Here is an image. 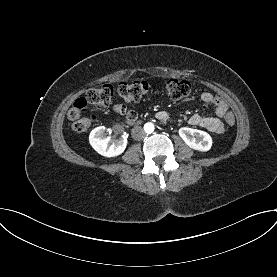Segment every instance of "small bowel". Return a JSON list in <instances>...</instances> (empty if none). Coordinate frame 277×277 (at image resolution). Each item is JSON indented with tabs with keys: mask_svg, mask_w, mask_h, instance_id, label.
<instances>
[{
	"mask_svg": "<svg viewBox=\"0 0 277 277\" xmlns=\"http://www.w3.org/2000/svg\"><path fill=\"white\" fill-rule=\"evenodd\" d=\"M201 100L211 106L215 107L216 117H204L198 114H194L189 118V124L192 126H198L205 128L215 134H221L224 132V115L228 111L226 102L210 92H204L201 94ZM112 110L119 116H125L127 119H135L136 113L129 110L125 104H115L112 106ZM156 118L160 122H166L169 119V114L166 111H160L156 114Z\"/></svg>",
	"mask_w": 277,
	"mask_h": 277,
	"instance_id": "small-bowel-1",
	"label": "small bowel"
}]
</instances>
